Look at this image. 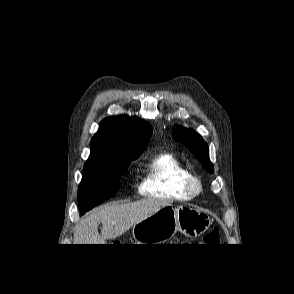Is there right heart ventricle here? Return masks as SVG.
<instances>
[{
  "mask_svg": "<svg viewBox=\"0 0 294 294\" xmlns=\"http://www.w3.org/2000/svg\"><path fill=\"white\" fill-rule=\"evenodd\" d=\"M189 171L172 153L161 152L146 162L140 173L138 193L154 198L179 199L188 197L185 178Z\"/></svg>",
  "mask_w": 294,
  "mask_h": 294,
  "instance_id": "e07e8e85",
  "label": "right heart ventricle"
}]
</instances>
